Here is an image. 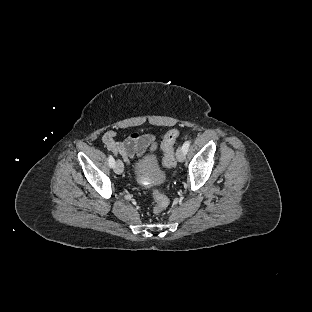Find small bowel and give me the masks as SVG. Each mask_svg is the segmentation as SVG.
Instances as JSON below:
<instances>
[{
  "label": "small bowel",
  "instance_id": "c3829d8e",
  "mask_svg": "<svg viewBox=\"0 0 312 312\" xmlns=\"http://www.w3.org/2000/svg\"><path fill=\"white\" fill-rule=\"evenodd\" d=\"M116 136L114 130L107 131L103 136V143L108 151L116 156L120 155L129 164L146 151L153 153L157 149L155 137L150 134L132 133L123 142H116Z\"/></svg>",
  "mask_w": 312,
  "mask_h": 312
}]
</instances>
